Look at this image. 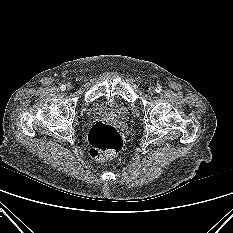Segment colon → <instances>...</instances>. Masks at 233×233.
Here are the masks:
<instances>
[{
  "label": "colon",
  "instance_id": "5ec220e1",
  "mask_svg": "<svg viewBox=\"0 0 233 233\" xmlns=\"http://www.w3.org/2000/svg\"><path fill=\"white\" fill-rule=\"evenodd\" d=\"M90 155L94 159L111 158L123 147V139L117 129L105 122L95 123L89 131Z\"/></svg>",
  "mask_w": 233,
  "mask_h": 233
}]
</instances>
